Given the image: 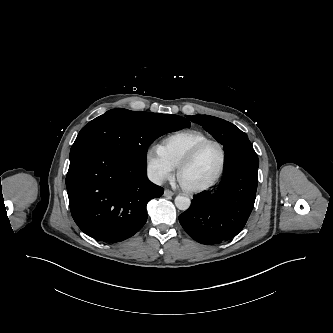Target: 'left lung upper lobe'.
Returning a JSON list of instances; mask_svg holds the SVG:
<instances>
[{"mask_svg":"<svg viewBox=\"0 0 333 333\" xmlns=\"http://www.w3.org/2000/svg\"><path fill=\"white\" fill-rule=\"evenodd\" d=\"M193 122H197L208 131L225 150L229 149L236 142L247 139V135L234 124L223 119L209 115L187 116Z\"/></svg>","mask_w":333,"mask_h":333,"instance_id":"1","label":"left lung upper lobe"}]
</instances>
